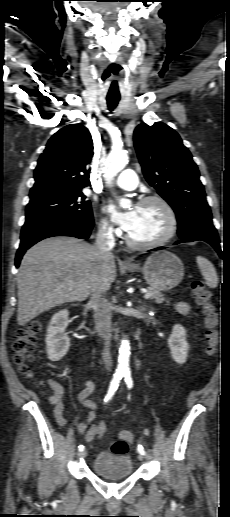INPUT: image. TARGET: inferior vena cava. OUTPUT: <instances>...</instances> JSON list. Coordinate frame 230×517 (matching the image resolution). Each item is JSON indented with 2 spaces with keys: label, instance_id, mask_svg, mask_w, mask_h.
I'll return each instance as SVG.
<instances>
[{
  "label": "inferior vena cava",
  "instance_id": "inferior-vena-cava-1",
  "mask_svg": "<svg viewBox=\"0 0 230 517\" xmlns=\"http://www.w3.org/2000/svg\"><path fill=\"white\" fill-rule=\"evenodd\" d=\"M95 246L101 258H107L112 255L111 251L115 246V238L112 231L107 225L100 227ZM106 290V283L102 277L96 279L91 288V303L95 307V324L98 335L104 341V348L102 350V360L106 368L110 371L112 367L111 358V338H112V323L110 303L104 297Z\"/></svg>",
  "mask_w": 230,
  "mask_h": 517
}]
</instances>
